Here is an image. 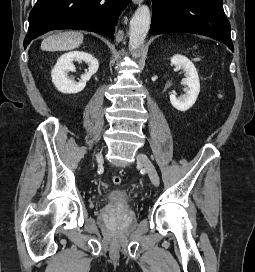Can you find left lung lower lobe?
<instances>
[{"label":"left lung lower lobe","instance_id":"0a47b994","mask_svg":"<svg viewBox=\"0 0 255 272\" xmlns=\"http://www.w3.org/2000/svg\"><path fill=\"white\" fill-rule=\"evenodd\" d=\"M152 5L151 34L187 32L205 35L234 51L222 0H152Z\"/></svg>","mask_w":255,"mask_h":272}]
</instances>
